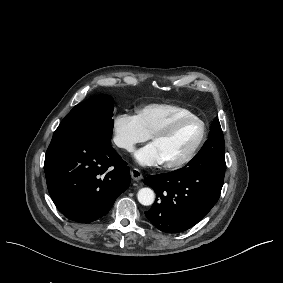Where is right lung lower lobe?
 <instances>
[{"mask_svg":"<svg viewBox=\"0 0 283 283\" xmlns=\"http://www.w3.org/2000/svg\"><path fill=\"white\" fill-rule=\"evenodd\" d=\"M44 170L50 196L70 220L104 216L130 184V169L111 144L82 137L52 138Z\"/></svg>","mask_w":283,"mask_h":283,"instance_id":"98d812e1","label":"right lung lower lobe"}]
</instances>
